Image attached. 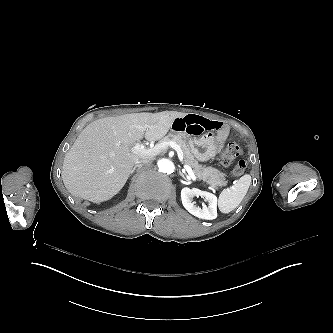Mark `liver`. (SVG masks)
I'll use <instances>...</instances> for the list:
<instances>
[{
    "instance_id": "6515ba94",
    "label": "liver",
    "mask_w": 333,
    "mask_h": 333,
    "mask_svg": "<svg viewBox=\"0 0 333 333\" xmlns=\"http://www.w3.org/2000/svg\"><path fill=\"white\" fill-rule=\"evenodd\" d=\"M185 115L177 111L132 113L90 123L65 155L62 180L66 189L94 203L111 199L125 185L135 162L152 158L132 152L136 141L143 136L148 141L160 140L173 121Z\"/></svg>"
}]
</instances>
